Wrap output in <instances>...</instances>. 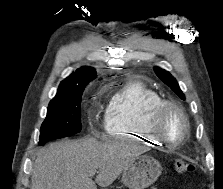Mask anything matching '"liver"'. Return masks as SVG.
<instances>
[{"instance_id":"liver-1","label":"liver","mask_w":223,"mask_h":189,"mask_svg":"<svg viewBox=\"0 0 223 189\" xmlns=\"http://www.w3.org/2000/svg\"><path fill=\"white\" fill-rule=\"evenodd\" d=\"M140 151L134 144L94 138L51 143L35 159L31 189H97L111 185ZM98 170L95 181L90 171Z\"/></svg>"}]
</instances>
